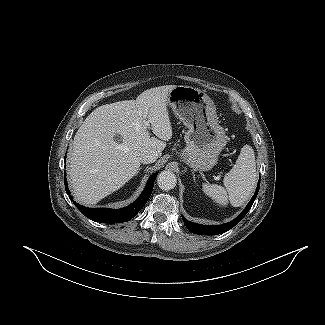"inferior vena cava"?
<instances>
[{
    "label": "inferior vena cava",
    "mask_w": 325,
    "mask_h": 325,
    "mask_svg": "<svg viewBox=\"0 0 325 325\" xmlns=\"http://www.w3.org/2000/svg\"><path fill=\"white\" fill-rule=\"evenodd\" d=\"M158 153L153 150H146L140 155V162L143 164L153 163L158 159Z\"/></svg>",
    "instance_id": "1"
}]
</instances>
